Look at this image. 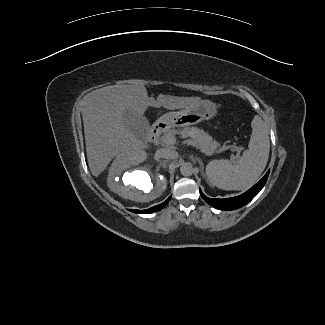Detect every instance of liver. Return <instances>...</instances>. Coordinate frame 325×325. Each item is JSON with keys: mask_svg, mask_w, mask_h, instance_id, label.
Masks as SVG:
<instances>
[{"mask_svg": "<svg viewBox=\"0 0 325 325\" xmlns=\"http://www.w3.org/2000/svg\"><path fill=\"white\" fill-rule=\"evenodd\" d=\"M200 97L159 94L148 97L144 85H112L97 89L83 99L82 118L88 165L99 176L114 157L145 159L147 143L137 139L126 127L124 112L143 115L149 106L169 110L184 109L201 102Z\"/></svg>", "mask_w": 325, "mask_h": 325, "instance_id": "1", "label": "liver"}]
</instances>
